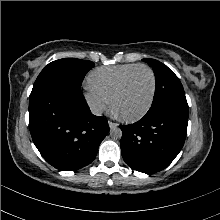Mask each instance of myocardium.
<instances>
[{"label": "myocardium", "mask_w": 220, "mask_h": 220, "mask_svg": "<svg viewBox=\"0 0 220 220\" xmlns=\"http://www.w3.org/2000/svg\"><path fill=\"white\" fill-rule=\"evenodd\" d=\"M139 68H144L147 69L151 75L152 78V91H151V95L149 98V101L147 103V105L145 106V108L138 114L136 115H132V116H125V115H121V118L124 119L125 121L128 122H135L138 121L140 119H142L151 109L153 102H154V98L156 95V88H157V79H156V75L154 70L147 64H137L136 66H134L132 69H130L125 75L124 77L121 79L120 83L118 84V86L116 87V89L114 90L112 97H111V103H112V107L115 111L116 107H115V103L116 100L118 98V96L122 93V91L124 90L127 81L129 80L130 76L134 73V71H136Z\"/></svg>", "instance_id": "obj_1"}]
</instances>
